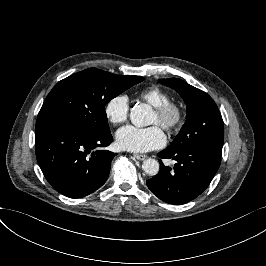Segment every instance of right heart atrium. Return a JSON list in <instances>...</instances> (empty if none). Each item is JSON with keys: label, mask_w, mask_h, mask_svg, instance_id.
<instances>
[{"label": "right heart atrium", "mask_w": 266, "mask_h": 266, "mask_svg": "<svg viewBox=\"0 0 266 266\" xmlns=\"http://www.w3.org/2000/svg\"><path fill=\"white\" fill-rule=\"evenodd\" d=\"M130 112V100L125 93L111 96L104 106V115L111 124L124 123Z\"/></svg>", "instance_id": "obj_1"}]
</instances>
